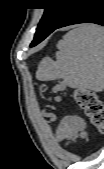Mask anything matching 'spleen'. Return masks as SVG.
<instances>
[{"label":"spleen","instance_id":"1","mask_svg":"<svg viewBox=\"0 0 104 169\" xmlns=\"http://www.w3.org/2000/svg\"><path fill=\"white\" fill-rule=\"evenodd\" d=\"M56 61L46 57L38 66L41 81L63 79L71 88L101 92L104 88V29L82 25L57 44Z\"/></svg>","mask_w":104,"mask_h":169}]
</instances>
